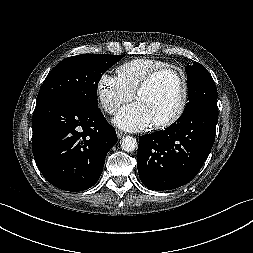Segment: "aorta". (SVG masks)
<instances>
[{
    "mask_svg": "<svg viewBox=\"0 0 253 253\" xmlns=\"http://www.w3.org/2000/svg\"><path fill=\"white\" fill-rule=\"evenodd\" d=\"M137 147H138L137 140L132 136H126L121 141V148L126 152H132L136 150Z\"/></svg>",
    "mask_w": 253,
    "mask_h": 253,
    "instance_id": "aorta-1",
    "label": "aorta"
}]
</instances>
